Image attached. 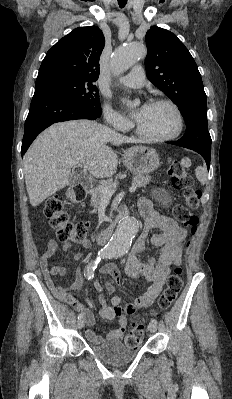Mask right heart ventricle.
<instances>
[{"instance_id":"obj_1","label":"right heart ventricle","mask_w":232,"mask_h":399,"mask_svg":"<svg viewBox=\"0 0 232 399\" xmlns=\"http://www.w3.org/2000/svg\"><path fill=\"white\" fill-rule=\"evenodd\" d=\"M128 129V127L127 128H123L122 130H127Z\"/></svg>"}]
</instances>
